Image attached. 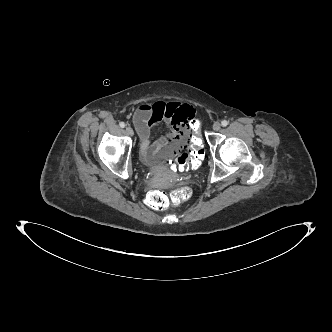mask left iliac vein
Returning <instances> with one entry per match:
<instances>
[{
	"mask_svg": "<svg viewBox=\"0 0 332 332\" xmlns=\"http://www.w3.org/2000/svg\"><path fill=\"white\" fill-rule=\"evenodd\" d=\"M212 128L214 131H219L221 128V124L219 122H215Z\"/></svg>",
	"mask_w": 332,
	"mask_h": 332,
	"instance_id": "obj_1",
	"label": "left iliac vein"
}]
</instances>
